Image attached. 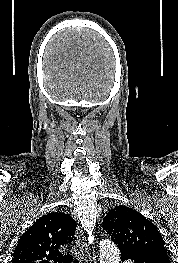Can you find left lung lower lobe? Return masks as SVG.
<instances>
[{"instance_id": "left-lung-lower-lobe-1", "label": "left lung lower lobe", "mask_w": 178, "mask_h": 263, "mask_svg": "<svg viewBox=\"0 0 178 263\" xmlns=\"http://www.w3.org/2000/svg\"><path fill=\"white\" fill-rule=\"evenodd\" d=\"M122 262L132 260L134 263H170L168 257L155 256L150 254H136L133 255L127 251L121 250Z\"/></svg>"}]
</instances>
